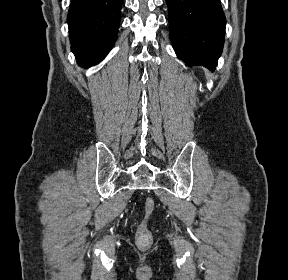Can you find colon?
<instances>
[{"label": "colon", "instance_id": "obj_1", "mask_svg": "<svg viewBox=\"0 0 288 280\" xmlns=\"http://www.w3.org/2000/svg\"><path fill=\"white\" fill-rule=\"evenodd\" d=\"M155 208V202L152 198H147L144 204V220L139 224L136 232V240L139 246L147 247L152 242V234L146 225V219L151 215Z\"/></svg>", "mask_w": 288, "mask_h": 280}]
</instances>
